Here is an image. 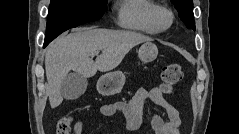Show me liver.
<instances>
[{
	"label": "liver",
	"instance_id": "liver-1",
	"mask_svg": "<svg viewBox=\"0 0 239 134\" xmlns=\"http://www.w3.org/2000/svg\"><path fill=\"white\" fill-rule=\"evenodd\" d=\"M147 41L151 38L141 33L97 28H81L59 37L50 44L45 56L51 108L62 103L61 85L71 70L85 78L97 71L113 70L134 46ZM97 50L102 54L93 61L90 55Z\"/></svg>",
	"mask_w": 239,
	"mask_h": 134
}]
</instances>
